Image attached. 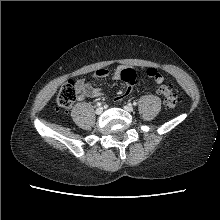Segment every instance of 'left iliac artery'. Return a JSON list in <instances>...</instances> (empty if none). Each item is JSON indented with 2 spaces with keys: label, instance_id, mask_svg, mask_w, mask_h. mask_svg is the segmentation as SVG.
Here are the masks:
<instances>
[{
  "label": "left iliac artery",
  "instance_id": "left-iliac-artery-1",
  "mask_svg": "<svg viewBox=\"0 0 220 220\" xmlns=\"http://www.w3.org/2000/svg\"><path fill=\"white\" fill-rule=\"evenodd\" d=\"M133 105H134V106H136V105H137V102H136V101H134V102H133Z\"/></svg>",
  "mask_w": 220,
  "mask_h": 220
}]
</instances>
